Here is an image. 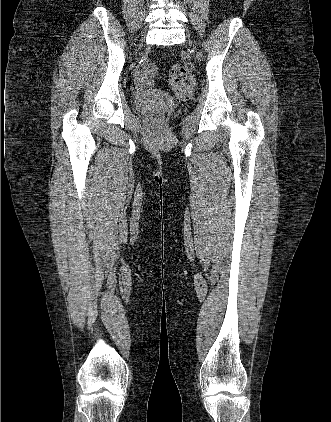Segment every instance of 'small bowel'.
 <instances>
[{
	"label": "small bowel",
	"instance_id": "1",
	"mask_svg": "<svg viewBox=\"0 0 331 422\" xmlns=\"http://www.w3.org/2000/svg\"><path fill=\"white\" fill-rule=\"evenodd\" d=\"M150 80H145L143 83V87L145 88L146 86L150 85Z\"/></svg>",
	"mask_w": 331,
	"mask_h": 422
}]
</instances>
